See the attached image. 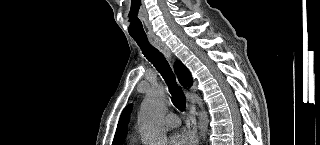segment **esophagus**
Returning <instances> with one entry per match:
<instances>
[{
    "mask_svg": "<svg viewBox=\"0 0 320 145\" xmlns=\"http://www.w3.org/2000/svg\"><path fill=\"white\" fill-rule=\"evenodd\" d=\"M150 41L155 47H157L160 51H162L167 58L169 59L171 58L170 50L160 39L150 38ZM186 126H187L190 145H198L199 137H198V130H197L196 119H195V107L189 98L187 102Z\"/></svg>",
    "mask_w": 320,
    "mask_h": 145,
    "instance_id": "obj_1",
    "label": "esophagus"
}]
</instances>
